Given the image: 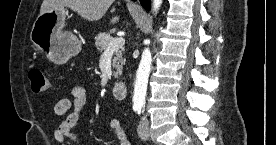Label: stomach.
Returning <instances> with one entry per match:
<instances>
[{
    "label": "stomach",
    "instance_id": "1",
    "mask_svg": "<svg viewBox=\"0 0 276 145\" xmlns=\"http://www.w3.org/2000/svg\"><path fill=\"white\" fill-rule=\"evenodd\" d=\"M67 12L54 7L35 20L30 39L53 62L62 64L81 51V41L70 31H63Z\"/></svg>",
    "mask_w": 276,
    "mask_h": 145
}]
</instances>
